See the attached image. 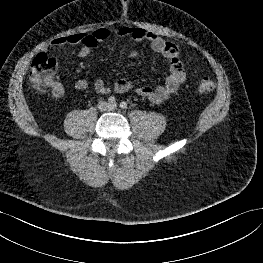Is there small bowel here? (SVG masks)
I'll use <instances>...</instances> for the list:
<instances>
[{
    "label": "small bowel",
    "mask_w": 263,
    "mask_h": 263,
    "mask_svg": "<svg viewBox=\"0 0 263 263\" xmlns=\"http://www.w3.org/2000/svg\"><path fill=\"white\" fill-rule=\"evenodd\" d=\"M130 38L137 43L147 42L152 50L160 54L169 63V75L165 82L156 87L141 86L135 87L133 81L129 78H121L114 83L113 90L117 93H127L135 91L138 95L145 97L153 103L159 104L174 94L186 79V72L183 61L179 56L178 47L170 41H166L160 36L146 31L142 28L131 26H121L118 28H100L92 33H75L68 36L56 38L49 46L44 47V51L59 48L64 45H80L82 48L79 56L86 58L90 51L97 47L101 42L109 39L111 36ZM137 51L132 49L131 56H135ZM88 87L85 79H79L75 83L77 91H83ZM94 88L99 94H109L111 88L101 79L94 83ZM52 94L55 98H61L64 95V88L61 84H55L52 88Z\"/></svg>",
    "instance_id": "c3829d8e"
}]
</instances>
